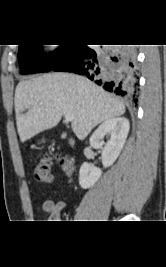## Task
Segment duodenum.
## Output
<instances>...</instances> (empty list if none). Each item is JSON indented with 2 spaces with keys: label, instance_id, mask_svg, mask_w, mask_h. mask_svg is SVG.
Wrapping results in <instances>:
<instances>
[{
  "label": "duodenum",
  "instance_id": "obj_1",
  "mask_svg": "<svg viewBox=\"0 0 166 267\" xmlns=\"http://www.w3.org/2000/svg\"><path fill=\"white\" fill-rule=\"evenodd\" d=\"M70 144L74 147L75 143L73 141L70 140Z\"/></svg>",
  "mask_w": 166,
  "mask_h": 267
}]
</instances>
